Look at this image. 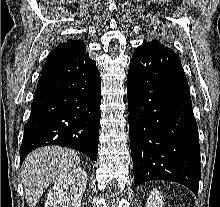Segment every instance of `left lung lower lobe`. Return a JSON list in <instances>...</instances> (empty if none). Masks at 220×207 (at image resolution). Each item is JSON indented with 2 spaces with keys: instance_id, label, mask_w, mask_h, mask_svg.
Here are the masks:
<instances>
[{
  "instance_id": "1",
  "label": "left lung lower lobe",
  "mask_w": 220,
  "mask_h": 207,
  "mask_svg": "<svg viewBox=\"0 0 220 207\" xmlns=\"http://www.w3.org/2000/svg\"><path fill=\"white\" fill-rule=\"evenodd\" d=\"M127 97L135 185L174 181L198 196V127L177 54L163 44L140 45L130 61Z\"/></svg>"
}]
</instances>
